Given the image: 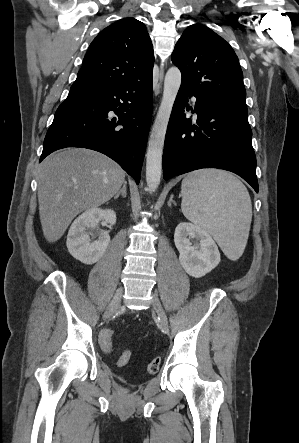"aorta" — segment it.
Masks as SVG:
<instances>
[{"label": "aorta", "instance_id": "762f6f07", "mask_svg": "<svg viewBox=\"0 0 299 443\" xmlns=\"http://www.w3.org/2000/svg\"><path fill=\"white\" fill-rule=\"evenodd\" d=\"M180 85L181 72L177 67H171L165 76L162 101L148 141L146 183L149 192H154L160 184L165 135Z\"/></svg>", "mask_w": 299, "mask_h": 443}]
</instances>
